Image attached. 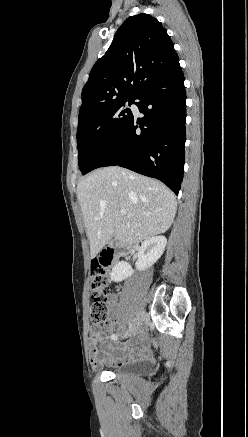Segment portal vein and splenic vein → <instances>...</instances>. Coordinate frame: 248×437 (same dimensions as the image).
Listing matches in <instances>:
<instances>
[{"label": "portal vein and splenic vein", "mask_w": 248, "mask_h": 437, "mask_svg": "<svg viewBox=\"0 0 248 437\" xmlns=\"http://www.w3.org/2000/svg\"><path fill=\"white\" fill-rule=\"evenodd\" d=\"M120 213H121V215L131 216V215L128 214V213L126 212V210H124V209H121V210H120Z\"/></svg>", "instance_id": "obj_1"}]
</instances>
